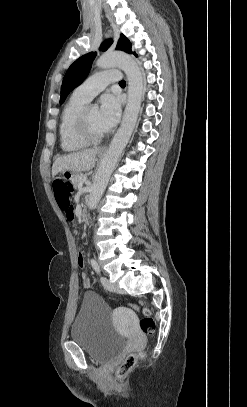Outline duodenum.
I'll use <instances>...</instances> for the list:
<instances>
[{"label": "duodenum", "mask_w": 247, "mask_h": 407, "mask_svg": "<svg viewBox=\"0 0 247 407\" xmlns=\"http://www.w3.org/2000/svg\"><path fill=\"white\" fill-rule=\"evenodd\" d=\"M80 212H81V217H82L87 223H89L90 220H89V216H88V212H87L86 208H82Z\"/></svg>", "instance_id": "obj_1"}]
</instances>
